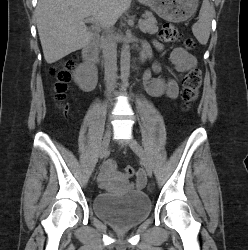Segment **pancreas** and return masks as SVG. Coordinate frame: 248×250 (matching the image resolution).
Listing matches in <instances>:
<instances>
[{"label":"pancreas","mask_w":248,"mask_h":250,"mask_svg":"<svg viewBox=\"0 0 248 250\" xmlns=\"http://www.w3.org/2000/svg\"><path fill=\"white\" fill-rule=\"evenodd\" d=\"M142 23L139 28L143 33L155 34L158 31L156 18L151 12H146L143 15Z\"/></svg>","instance_id":"1"}]
</instances>
